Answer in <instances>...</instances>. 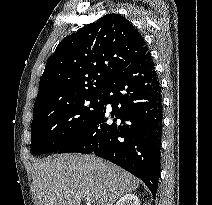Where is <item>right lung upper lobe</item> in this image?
<instances>
[{
  "label": "right lung upper lobe",
  "instance_id": "cb5924a9",
  "mask_svg": "<svg viewBox=\"0 0 212 205\" xmlns=\"http://www.w3.org/2000/svg\"><path fill=\"white\" fill-rule=\"evenodd\" d=\"M148 48L120 14H107L66 37L48 59L34 113L102 93L107 84Z\"/></svg>",
  "mask_w": 212,
  "mask_h": 205
}]
</instances>
